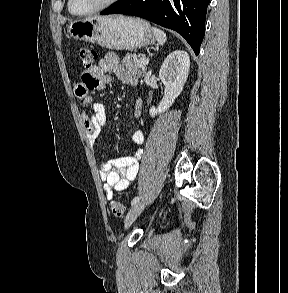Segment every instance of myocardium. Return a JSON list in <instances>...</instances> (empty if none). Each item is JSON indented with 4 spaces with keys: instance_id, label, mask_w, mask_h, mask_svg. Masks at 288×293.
Segmentation results:
<instances>
[{
    "instance_id": "myocardium-1",
    "label": "myocardium",
    "mask_w": 288,
    "mask_h": 293,
    "mask_svg": "<svg viewBox=\"0 0 288 293\" xmlns=\"http://www.w3.org/2000/svg\"><path fill=\"white\" fill-rule=\"evenodd\" d=\"M118 0H105L102 4L98 5L95 8H92L90 10L87 11H83V12H78L75 11L72 7V0H68V9L70 11L71 14L76 15V16H85V15H89V14H93L99 11H102L110 6H112L113 4H115Z\"/></svg>"
}]
</instances>
